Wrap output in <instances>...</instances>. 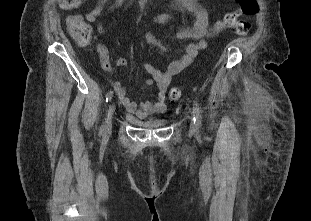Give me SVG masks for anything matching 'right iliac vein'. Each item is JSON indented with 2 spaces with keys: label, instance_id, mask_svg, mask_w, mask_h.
<instances>
[{
  "label": "right iliac vein",
  "instance_id": "right-iliac-vein-1",
  "mask_svg": "<svg viewBox=\"0 0 311 221\" xmlns=\"http://www.w3.org/2000/svg\"><path fill=\"white\" fill-rule=\"evenodd\" d=\"M115 112V105L112 103L109 105L108 111H107V119H106V132H110L112 128V116Z\"/></svg>",
  "mask_w": 311,
  "mask_h": 221
}]
</instances>
